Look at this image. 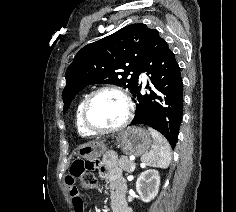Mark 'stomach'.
Wrapping results in <instances>:
<instances>
[{"instance_id":"0dacf381","label":"stomach","mask_w":236,"mask_h":212,"mask_svg":"<svg viewBox=\"0 0 236 212\" xmlns=\"http://www.w3.org/2000/svg\"><path fill=\"white\" fill-rule=\"evenodd\" d=\"M118 146L126 154L143 155L148 152L152 141L150 134L140 127H128L117 136ZM104 141H94L81 145L77 149L78 156L87 160H94L106 151Z\"/></svg>"}]
</instances>
